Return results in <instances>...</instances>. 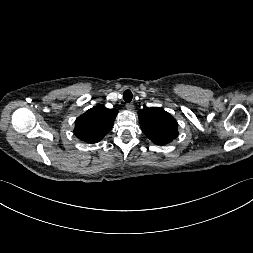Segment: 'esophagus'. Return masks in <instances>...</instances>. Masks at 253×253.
<instances>
[{
    "label": "esophagus",
    "instance_id": "1",
    "mask_svg": "<svg viewBox=\"0 0 253 253\" xmlns=\"http://www.w3.org/2000/svg\"><path fill=\"white\" fill-rule=\"evenodd\" d=\"M126 108H127V110H133V108H134V104L133 103H127L126 104Z\"/></svg>",
    "mask_w": 253,
    "mask_h": 253
}]
</instances>
